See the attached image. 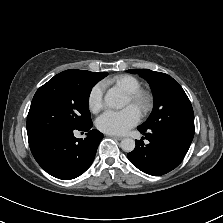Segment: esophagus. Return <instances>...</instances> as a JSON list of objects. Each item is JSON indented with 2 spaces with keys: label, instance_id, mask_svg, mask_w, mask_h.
<instances>
[{
  "label": "esophagus",
  "instance_id": "esophagus-1",
  "mask_svg": "<svg viewBox=\"0 0 223 223\" xmlns=\"http://www.w3.org/2000/svg\"><path fill=\"white\" fill-rule=\"evenodd\" d=\"M106 136L116 139V140H122V137H120V136H116V135H112V134H107Z\"/></svg>",
  "mask_w": 223,
  "mask_h": 223
}]
</instances>
